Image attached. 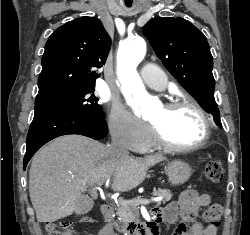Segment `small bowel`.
I'll return each instance as SVG.
<instances>
[{"label":"small bowel","instance_id":"1","mask_svg":"<svg viewBox=\"0 0 250 235\" xmlns=\"http://www.w3.org/2000/svg\"><path fill=\"white\" fill-rule=\"evenodd\" d=\"M211 198L207 193H197L194 190L184 191L178 201L171 202L163 209H155L160 222L172 223L179 214L183 221L175 227L172 235H217V228L212 225L203 226L193 220V216L202 208L207 207Z\"/></svg>","mask_w":250,"mask_h":235}]
</instances>
